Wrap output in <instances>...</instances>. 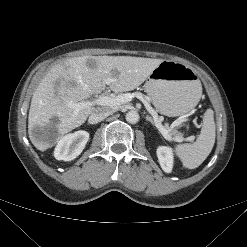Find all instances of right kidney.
Returning <instances> with one entry per match:
<instances>
[{"mask_svg": "<svg viewBox=\"0 0 247 247\" xmlns=\"http://www.w3.org/2000/svg\"><path fill=\"white\" fill-rule=\"evenodd\" d=\"M88 140L87 131L79 130L67 134L58 141L54 157L57 160L71 161L81 154Z\"/></svg>", "mask_w": 247, "mask_h": 247, "instance_id": "1", "label": "right kidney"}]
</instances>
